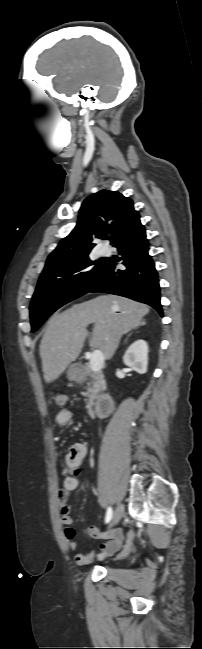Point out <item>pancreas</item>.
I'll return each mask as SVG.
<instances>
[{
	"instance_id": "cf45deb5",
	"label": "pancreas",
	"mask_w": 202,
	"mask_h": 649,
	"mask_svg": "<svg viewBox=\"0 0 202 649\" xmlns=\"http://www.w3.org/2000/svg\"><path fill=\"white\" fill-rule=\"evenodd\" d=\"M81 373L79 377V383L88 384V389L86 396L88 397V402L86 408L88 411H91L95 406V401L99 399V394L105 389V380L101 371L93 372L90 368V365H82Z\"/></svg>"
}]
</instances>
